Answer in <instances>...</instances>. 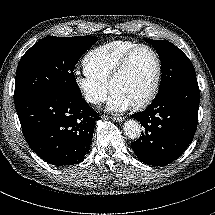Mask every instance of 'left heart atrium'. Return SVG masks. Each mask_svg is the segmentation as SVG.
<instances>
[{"mask_svg":"<svg viewBox=\"0 0 215 215\" xmlns=\"http://www.w3.org/2000/svg\"><path fill=\"white\" fill-rule=\"evenodd\" d=\"M131 106L130 102L121 94L116 92H111L107 109L112 112H123Z\"/></svg>","mask_w":215,"mask_h":215,"instance_id":"1","label":"left heart atrium"}]
</instances>
